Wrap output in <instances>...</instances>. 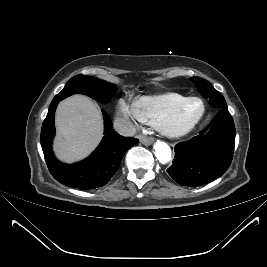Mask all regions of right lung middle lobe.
<instances>
[{
  "instance_id": "1",
  "label": "right lung middle lobe",
  "mask_w": 267,
  "mask_h": 267,
  "mask_svg": "<svg viewBox=\"0 0 267 267\" xmlns=\"http://www.w3.org/2000/svg\"><path fill=\"white\" fill-rule=\"evenodd\" d=\"M115 92L116 87L111 83L90 76L76 75L53 100L61 101L72 94L83 93L99 102H107Z\"/></svg>"
}]
</instances>
